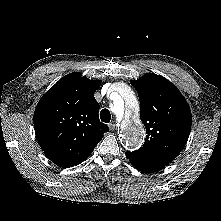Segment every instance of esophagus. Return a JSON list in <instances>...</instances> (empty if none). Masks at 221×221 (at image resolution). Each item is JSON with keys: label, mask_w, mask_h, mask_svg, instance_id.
I'll return each mask as SVG.
<instances>
[{"label": "esophagus", "mask_w": 221, "mask_h": 221, "mask_svg": "<svg viewBox=\"0 0 221 221\" xmlns=\"http://www.w3.org/2000/svg\"><path fill=\"white\" fill-rule=\"evenodd\" d=\"M109 129L111 130V131H113L114 129H115V123L114 122H111V123H109Z\"/></svg>", "instance_id": "esophagus-1"}]
</instances>
